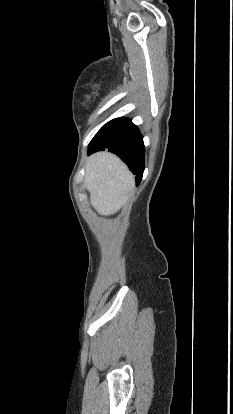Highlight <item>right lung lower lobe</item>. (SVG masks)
<instances>
[{
    "mask_svg": "<svg viewBox=\"0 0 233 414\" xmlns=\"http://www.w3.org/2000/svg\"><path fill=\"white\" fill-rule=\"evenodd\" d=\"M108 149L118 155L136 175L139 185L144 171L145 147L139 129L126 118H116L105 124L92 139L88 155Z\"/></svg>",
    "mask_w": 233,
    "mask_h": 414,
    "instance_id": "1",
    "label": "right lung lower lobe"
}]
</instances>
